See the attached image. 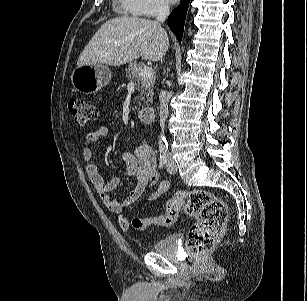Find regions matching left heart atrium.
Masks as SVG:
<instances>
[{
	"label": "left heart atrium",
	"mask_w": 307,
	"mask_h": 301,
	"mask_svg": "<svg viewBox=\"0 0 307 301\" xmlns=\"http://www.w3.org/2000/svg\"><path fill=\"white\" fill-rule=\"evenodd\" d=\"M178 0H165V2H167L168 4H174L176 3Z\"/></svg>",
	"instance_id": "obj_1"
}]
</instances>
